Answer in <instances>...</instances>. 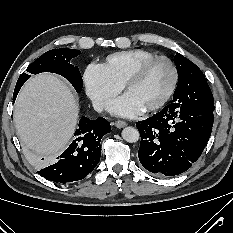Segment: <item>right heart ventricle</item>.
Here are the masks:
<instances>
[{
  "mask_svg": "<svg viewBox=\"0 0 233 233\" xmlns=\"http://www.w3.org/2000/svg\"><path fill=\"white\" fill-rule=\"evenodd\" d=\"M154 56V53L144 49L124 50L110 54L103 66L115 82L123 85L128 75L139 64Z\"/></svg>",
  "mask_w": 233,
  "mask_h": 233,
  "instance_id": "obj_1",
  "label": "right heart ventricle"
}]
</instances>
